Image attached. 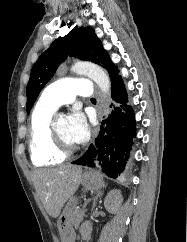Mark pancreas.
<instances>
[{
    "label": "pancreas",
    "instance_id": "cf45deb5",
    "mask_svg": "<svg viewBox=\"0 0 187 242\" xmlns=\"http://www.w3.org/2000/svg\"><path fill=\"white\" fill-rule=\"evenodd\" d=\"M84 213H85L84 210H75V216H76V219L74 221L75 226H78V224L81 222Z\"/></svg>",
    "mask_w": 187,
    "mask_h": 242
}]
</instances>
